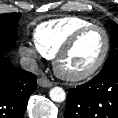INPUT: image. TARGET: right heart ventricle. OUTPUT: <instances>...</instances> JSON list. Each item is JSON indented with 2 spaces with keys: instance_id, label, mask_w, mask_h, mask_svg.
<instances>
[{
  "instance_id": "1",
  "label": "right heart ventricle",
  "mask_w": 118,
  "mask_h": 118,
  "mask_svg": "<svg viewBox=\"0 0 118 118\" xmlns=\"http://www.w3.org/2000/svg\"><path fill=\"white\" fill-rule=\"evenodd\" d=\"M93 24L77 16L49 20L38 25L33 38L43 57L52 59L62 44L78 29Z\"/></svg>"
}]
</instances>
